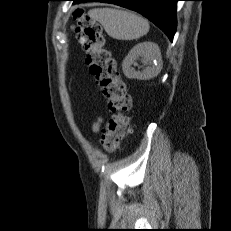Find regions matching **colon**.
Returning <instances> with one entry per match:
<instances>
[{"label": "colon", "instance_id": "colon-1", "mask_svg": "<svg viewBox=\"0 0 231 231\" xmlns=\"http://www.w3.org/2000/svg\"><path fill=\"white\" fill-rule=\"evenodd\" d=\"M76 16V34L87 54L86 64L112 113L102 134L101 145L106 151H114L129 132L132 98L117 70L103 28L97 21L86 17L82 10H77Z\"/></svg>", "mask_w": 231, "mask_h": 231}]
</instances>
